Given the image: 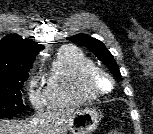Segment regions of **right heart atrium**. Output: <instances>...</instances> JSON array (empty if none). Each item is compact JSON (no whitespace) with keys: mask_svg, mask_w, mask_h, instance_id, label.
I'll return each mask as SVG.
<instances>
[{"mask_svg":"<svg viewBox=\"0 0 153 134\" xmlns=\"http://www.w3.org/2000/svg\"><path fill=\"white\" fill-rule=\"evenodd\" d=\"M27 95L30 103L36 108L40 109L44 103L43 94L38 86L37 78L32 77L27 86Z\"/></svg>","mask_w":153,"mask_h":134,"instance_id":"obj_1","label":"right heart atrium"}]
</instances>
